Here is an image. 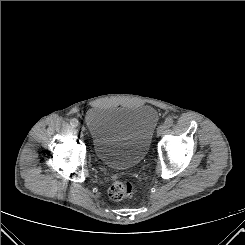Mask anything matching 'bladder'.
<instances>
[{
    "label": "bladder",
    "instance_id": "1",
    "mask_svg": "<svg viewBox=\"0 0 245 245\" xmlns=\"http://www.w3.org/2000/svg\"><path fill=\"white\" fill-rule=\"evenodd\" d=\"M85 123L97 159L109 168L123 170L145 158L158 114L146 104L96 106L87 111Z\"/></svg>",
    "mask_w": 245,
    "mask_h": 245
}]
</instances>
